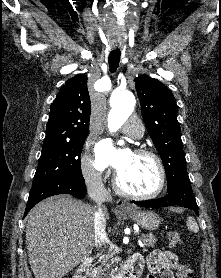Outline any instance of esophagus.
<instances>
[{"instance_id": "1", "label": "esophagus", "mask_w": 221, "mask_h": 278, "mask_svg": "<svg viewBox=\"0 0 221 278\" xmlns=\"http://www.w3.org/2000/svg\"><path fill=\"white\" fill-rule=\"evenodd\" d=\"M116 207L119 209V210H129L130 209V206L127 202H125L124 200H121L119 199L116 203Z\"/></svg>"}]
</instances>
